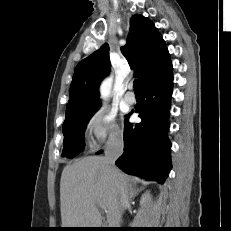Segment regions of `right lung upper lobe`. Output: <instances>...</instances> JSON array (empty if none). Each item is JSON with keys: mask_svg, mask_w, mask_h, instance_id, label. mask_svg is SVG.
I'll return each instance as SVG.
<instances>
[{"mask_svg": "<svg viewBox=\"0 0 231 231\" xmlns=\"http://www.w3.org/2000/svg\"><path fill=\"white\" fill-rule=\"evenodd\" d=\"M108 45L78 63L70 87V99L66 114L85 111L100 105L98 88L109 73L110 61ZM131 68H136L135 76L141 87L172 71V63L166 44L154 24L142 15H134L130 20L127 43L121 48Z\"/></svg>", "mask_w": 231, "mask_h": 231, "instance_id": "cb5924a9", "label": "right lung upper lobe"}]
</instances>
